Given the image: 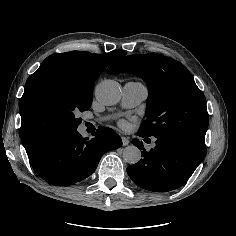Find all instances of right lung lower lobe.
I'll list each match as a JSON object with an SVG mask.
<instances>
[{"label":"right lung lower lobe","mask_w":236,"mask_h":236,"mask_svg":"<svg viewBox=\"0 0 236 236\" xmlns=\"http://www.w3.org/2000/svg\"><path fill=\"white\" fill-rule=\"evenodd\" d=\"M92 135V139L83 138L77 129L54 135L27 153L32 167L54 185H71L87 178L103 154L122 145L111 128L100 126Z\"/></svg>","instance_id":"98d812e1"}]
</instances>
